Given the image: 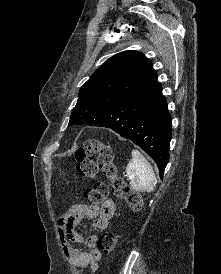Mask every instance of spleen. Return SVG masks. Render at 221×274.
<instances>
[{
  "label": "spleen",
  "instance_id": "spleen-1",
  "mask_svg": "<svg viewBox=\"0 0 221 274\" xmlns=\"http://www.w3.org/2000/svg\"><path fill=\"white\" fill-rule=\"evenodd\" d=\"M126 174L131 179L130 185L136 191L153 192L157 183L152 166L138 151H132V159L126 166Z\"/></svg>",
  "mask_w": 221,
  "mask_h": 274
}]
</instances>
